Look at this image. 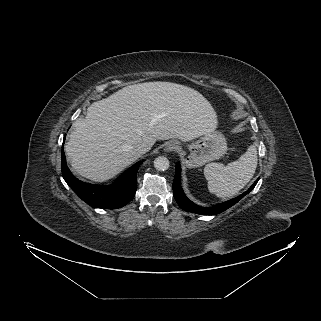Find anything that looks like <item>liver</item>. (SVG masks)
<instances>
[{"instance_id":"obj_1","label":"liver","mask_w":321,"mask_h":321,"mask_svg":"<svg viewBox=\"0 0 321 321\" xmlns=\"http://www.w3.org/2000/svg\"><path fill=\"white\" fill-rule=\"evenodd\" d=\"M217 115L198 91L171 82L124 87L92 103L74 123L65 146L71 166L82 177L106 181L135 162V147L157 140L190 141L217 127Z\"/></svg>"}]
</instances>
